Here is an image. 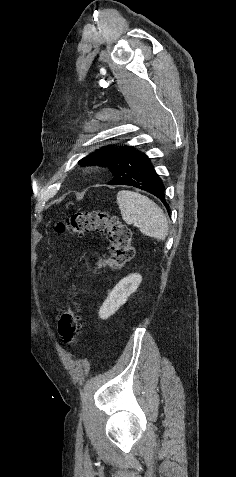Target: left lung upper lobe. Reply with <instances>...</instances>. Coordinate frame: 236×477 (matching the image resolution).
I'll return each instance as SVG.
<instances>
[{"instance_id":"1","label":"left lung upper lobe","mask_w":236,"mask_h":477,"mask_svg":"<svg viewBox=\"0 0 236 477\" xmlns=\"http://www.w3.org/2000/svg\"><path fill=\"white\" fill-rule=\"evenodd\" d=\"M141 155V152L130 146L115 148L106 146L81 159L79 164L81 166L101 165L108 167L114 176L108 184L118 185L130 175L136 160Z\"/></svg>"}]
</instances>
